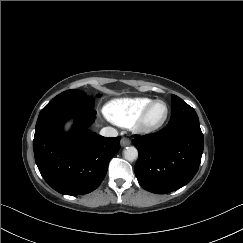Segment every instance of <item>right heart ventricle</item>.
Listing matches in <instances>:
<instances>
[{
    "label": "right heart ventricle",
    "mask_w": 243,
    "mask_h": 243,
    "mask_svg": "<svg viewBox=\"0 0 243 243\" xmlns=\"http://www.w3.org/2000/svg\"><path fill=\"white\" fill-rule=\"evenodd\" d=\"M153 100L149 97L112 100L105 106V113L114 123L129 127L134 124L143 109Z\"/></svg>",
    "instance_id": "1"
}]
</instances>
